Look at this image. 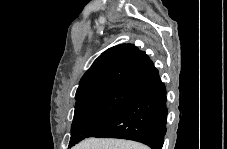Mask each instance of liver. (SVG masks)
Segmentation results:
<instances>
[{"instance_id":"liver-1","label":"liver","mask_w":227,"mask_h":149,"mask_svg":"<svg viewBox=\"0 0 227 149\" xmlns=\"http://www.w3.org/2000/svg\"><path fill=\"white\" fill-rule=\"evenodd\" d=\"M76 149H148V147L129 140L90 138L81 142Z\"/></svg>"}]
</instances>
